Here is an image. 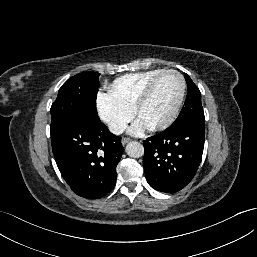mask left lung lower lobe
<instances>
[{
    "instance_id": "0a47b994",
    "label": "left lung lower lobe",
    "mask_w": 257,
    "mask_h": 257,
    "mask_svg": "<svg viewBox=\"0 0 257 257\" xmlns=\"http://www.w3.org/2000/svg\"><path fill=\"white\" fill-rule=\"evenodd\" d=\"M204 137L205 121L194 119L144 140L143 167L150 186L171 194L183 189L200 165Z\"/></svg>"
}]
</instances>
